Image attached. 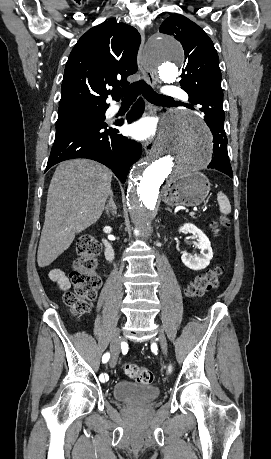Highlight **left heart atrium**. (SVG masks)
Listing matches in <instances>:
<instances>
[{
  "label": "left heart atrium",
  "mask_w": 271,
  "mask_h": 459,
  "mask_svg": "<svg viewBox=\"0 0 271 459\" xmlns=\"http://www.w3.org/2000/svg\"><path fill=\"white\" fill-rule=\"evenodd\" d=\"M156 128V120L151 117H146L133 123L130 127V133L135 139L144 141L154 137Z\"/></svg>",
  "instance_id": "obj_1"
}]
</instances>
